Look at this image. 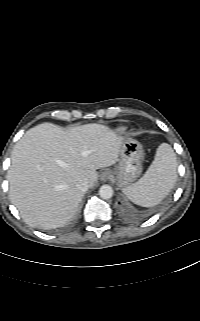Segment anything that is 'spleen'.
I'll list each match as a JSON object with an SVG mask.
<instances>
[{
	"instance_id": "obj_1",
	"label": "spleen",
	"mask_w": 200,
	"mask_h": 321,
	"mask_svg": "<svg viewBox=\"0 0 200 321\" xmlns=\"http://www.w3.org/2000/svg\"><path fill=\"white\" fill-rule=\"evenodd\" d=\"M177 157L172 147L162 143L145 174L122 189L133 203L143 207L159 204L172 190L177 180Z\"/></svg>"
}]
</instances>
